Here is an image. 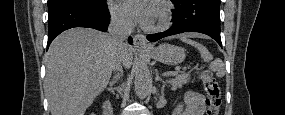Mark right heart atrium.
<instances>
[{
    "instance_id": "obj_1",
    "label": "right heart atrium",
    "mask_w": 285,
    "mask_h": 115,
    "mask_svg": "<svg viewBox=\"0 0 285 115\" xmlns=\"http://www.w3.org/2000/svg\"><path fill=\"white\" fill-rule=\"evenodd\" d=\"M111 15L113 20L124 26H129L132 23V19L127 11H125L120 5L111 2L109 4Z\"/></svg>"
}]
</instances>
